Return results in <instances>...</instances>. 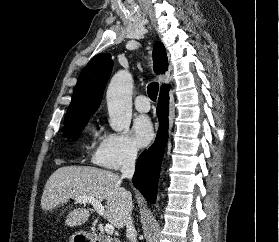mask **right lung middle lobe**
<instances>
[{"instance_id":"right-lung-middle-lobe-1","label":"right lung middle lobe","mask_w":279,"mask_h":242,"mask_svg":"<svg viewBox=\"0 0 279 242\" xmlns=\"http://www.w3.org/2000/svg\"><path fill=\"white\" fill-rule=\"evenodd\" d=\"M87 120L88 119H85L79 123L64 125L63 133L66 138H76L84 129Z\"/></svg>"}]
</instances>
